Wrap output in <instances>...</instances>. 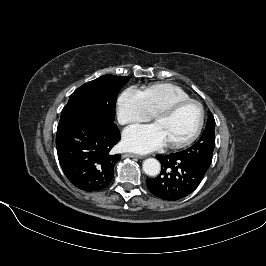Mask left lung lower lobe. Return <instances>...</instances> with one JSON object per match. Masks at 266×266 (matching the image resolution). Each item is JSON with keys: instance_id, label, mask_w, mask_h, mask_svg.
Here are the masks:
<instances>
[{"instance_id": "1", "label": "left lung lower lobe", "mask_w": 266, "mask_h": 266, "mask_svg": "<svg viewBox=\"0 0 266 266\" xmlns=\"http://www.w3.org/2000/svg\"><path fill=\"white\" fill-rule=\"evenodd\" d=\"M161 160V173L147 179L146 186L158 198L176 201L191 194L202 181L205 171L183 159L179 153L157 156Z\"/></svg>"}]
</instances>
